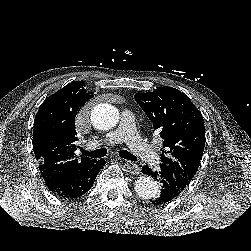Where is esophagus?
Segmentation results:
<instances>
[{"label": "esophagus", "mask_w": 251, "mask_h": 251, "mask_svg": "<svg viewBox=\"0 0 251 251\" xmlns=\"http://www.w3.org/2000/svg\"><path fill=\"white\" fill-rule=\"evenodd\" d=\"M116 157L119 160L124 161V159L121 158L120 156L117 155ZM125 161H126L128 169L130 170L131 173H133V174H139L140 173L141 167H140L139 164H137L135 162L127 161V160H125Z\"/></svg>", "instance_id": "34e87169"}]
</instances>
